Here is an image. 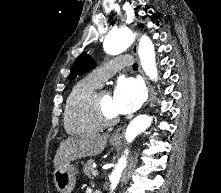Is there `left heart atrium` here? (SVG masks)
Returning a JSON list of instances; mask_svg holds the SVG:
<instances>
[{"instance_id":"left-heart-atrium-1","label":"left heart atrium","mask_w":221,"mask_h":193,"mask_svg":"<svg viewBox=\"0 0 221 193\" xmlns=\"http://www.w3.org/2000/svg\"><path fill=\"white\" fill-rule=\"evenodd\" d=\"M145 99L142 83L131 77L118 80L113 92V106L118 114H130L140 108Z\"/></svg>"}]
</instances>
